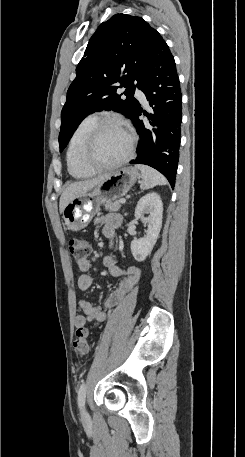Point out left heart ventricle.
<instances>
[{
  "mask_svg": "<svg viewBox=\"0 0 245 457\" xmlns=\"http://www.w3.org/2000/svg\"><path fill=\"white\" fill-rule=\"evenodd\" d=\"M129 145L128 136L120 129L110 127L105 129L97 143L87 152V161L93 166L106 165L120 157Z\"/></svg>",
  "mask_w": 245,
  "mask_h": 457,
  "instance_id": "b2bd125f",
  "label": "left heart ventricle"
}]
</instances>
